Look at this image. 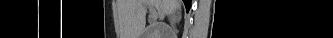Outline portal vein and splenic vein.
Returning a JSON list of instances; mask_svg holds the SVG:
<instances>
[{
  "instance_id": "portal-vein-and-splenic-vein-1",
  "label": "portal vein and splenic vein",
  "mask_w": 333,
  "mask_h": 38,
  "mask_svg": "<svg viewBox=\"0 0 333 38\" xmlns=\"http://www.w3.org/2000/svg\"><path fill=\"white\" fill-rule=\"evenodd\" d=\"M150 13H151L150 16H151L152 20H156L158 17L156 10H154L153 8L150 7Z\"/></svg>"
}]
</instances>
